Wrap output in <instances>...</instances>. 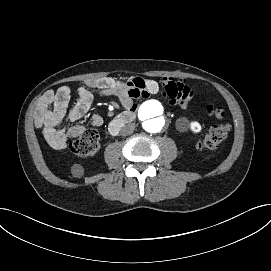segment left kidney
I'll return each mask as SVG.
<instances>
[{"instance_id":"obj_1","label":"left kidney","mask_w":271,"mask_h":271,"mask_svg":"<svg viewBox=\"0 0 271 271\" xmlns=\"http://www.w3.org/2000/svg\"><path fill=\"white\" fill-rule=\"evenodd\" d=\"M189 126H190V129H191L193 132H195V133H198V132L201 131V125H200L198 122H196V121L191 122V123L189 124Z\"/></svg>"}]
</instances>
